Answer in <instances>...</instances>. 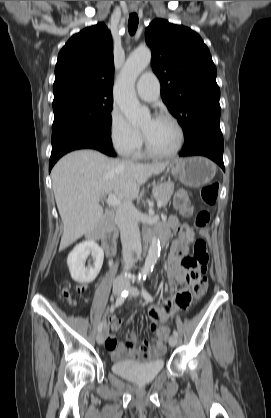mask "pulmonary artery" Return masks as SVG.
Here are the masks:
<instances>
[{
    "instance_id": "obj_1",
    "label": "pulmonary artery",
    "mask_w": 271,
    "mask_h": 418,
    "mask_svg": "<svg viewBox=\"0 0 271 418\" xmlns=\"http://www.w3.org/2000/svg\"><path fill=\"white\" fill-rule=\"evenodd\" d=\"M138 96L145 101H154L159 97L160 84L152 72L143 73L136 83Z\"/></svg>"
}]
</instances>
